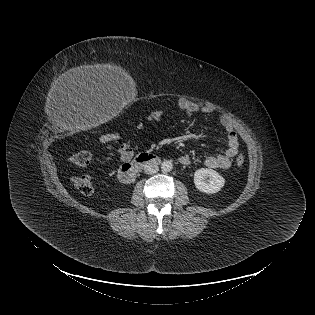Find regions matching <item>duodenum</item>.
<instances>
[{"mask_svg":"<svg viewBox=\"0 0 315 315\" xmlns=\"http://www.w3.org/2000/svg\"><path fill=\"white\" fill-rule=\"evenodd\" d=\"M159 158L153 153H141L130 162H125L118 170V179L123 184H130L141 169L152 163H158Z\"/></svg>","mask_w":315,"mask_h":315,"instance_id":"duodenum-1","label":"duodenum"}]
</instances>
